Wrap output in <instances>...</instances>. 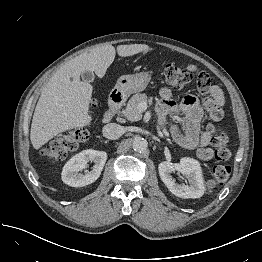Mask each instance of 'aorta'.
<instances>
[{
    "label": "aorta",
    "mask_w": 262,
    "mask_h": 262,
    "mask_svg": "<svg viewBox=\"0 0 262 262\" xmlns=\"http://www.w3.org/2000/svg\"><path fill=\"white\" fill-rule=\"evenodd\" d=\"M132 147L134 151L142 153L147 150L148 142L144 138L135 137L133 140Z\"/></svg>",
    "instance_id": "aorta-1"
}]
</instances>
